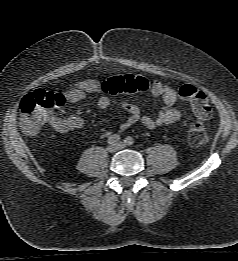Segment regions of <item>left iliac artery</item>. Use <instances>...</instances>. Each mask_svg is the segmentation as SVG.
<instances>
[{
	"instance_id": "44dca946",
	"label": "left iliac artery",
	"mask_w": 238,
	"mask_h": 261,
	"mask_svg": "<svg viewBox=\"0 0 238 261\" xmlns=\"http://www.w3.org/2000/svg\"><path fill=\"white\" fill-rule=\"evenodd\" d=\"M125 144L128 145V146H131L134 144V139L130 136H127L124 140Z\"/></svg>"
}]
</instances>
